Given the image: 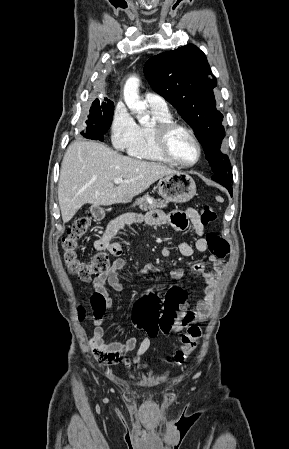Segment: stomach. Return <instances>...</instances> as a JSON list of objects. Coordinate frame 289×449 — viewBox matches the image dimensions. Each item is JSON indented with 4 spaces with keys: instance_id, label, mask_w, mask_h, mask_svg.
Here are the masks:
<instances>
[{
    "instance_id": "1",
    "label": "stomach",
    "mask_w": 289,
    "mask_h": 449,
    "mask_svg": "<svg viewBox=\"0 0 289 449\" xmlns=\"http://www.w3.org/2000/svg\"><path fill=\"white\" fill-rule=\"evenodd\" d=\"M158 193L166 201L185 203L196 195V184L187 173L177 172L160 179Z\"/></svg>"
}]
</instances>
